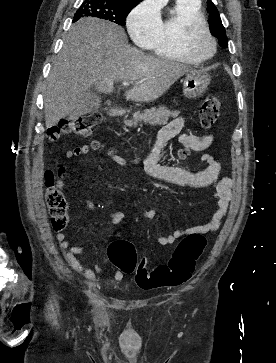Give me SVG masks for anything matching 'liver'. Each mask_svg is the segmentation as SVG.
I'll return each instance as SVG.
<instances>
[{"label":"liver","instance_id":"6515ba94","mask_svg":"<svg viewBox=\"0 0 276 363\" xmlns=\"http://www.w3.org/2000/svg\"><path fill=\"white\" fill-rule=\"evenodd\" d=\"M63 42L44 89L46 128L71 114L91 87L110 94L114 82L130 81L135 84L125 93L126 99L151 102L192 71L182 63L152 57L129 46L124 29L102 19H80Z\"/></svg>","mask_w":276,"mask_h":363}]
</instances>
